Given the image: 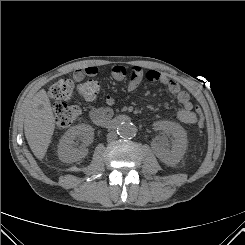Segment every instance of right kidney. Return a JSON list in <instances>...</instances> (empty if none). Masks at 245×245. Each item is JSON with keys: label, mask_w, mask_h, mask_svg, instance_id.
I'll list each match as a JSON object with an SVG mask.
<instances>
[{"label": "right kidney", "mask_w": 245, "mask_h": 245, "mask_svg": "<svg viewBox=\"0 0 245 245\" xmlns=\"http://www.w3.org/2000/svg\"><path fill=\"white\" fill-rule=\"evenodd\" d=\"M94 138V129L88 124H79L68 129L62 136L58 146V156L62 162H76L87 155L86 148ZM82 142L77 148L76 141Z\"/></svg>", "instance_id": "ca27d5eb"}]
</instances>
